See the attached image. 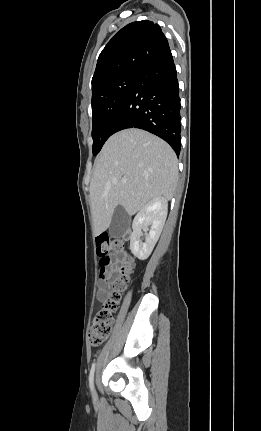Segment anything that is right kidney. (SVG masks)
<instances>
[{"instance_id":"obj_1","label":"right kidney","mask_w":261,"mask_h":431,"mask_svg":"<svg viewBox=\"0 0 261 431\" xmlns=\"http://www.w3.org/2000/svg\"><path fill=\"white\" fill-rule=\"evenodd\" d=\"M167 212V199L158 197L148 202L134 218L133 232L130 236V249L138 259L145 260L150 256L162 232ZM142 230H149V233L145 234V242L140 240L143 235Z\"/></svg>"}]
</instances>
